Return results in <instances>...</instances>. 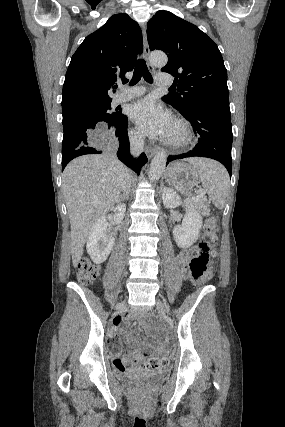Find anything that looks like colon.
Wrapping results in <instances>:
<instances>
[{"label":"colon","instance_id":"obj_1","mask_svg":"<svg viewBox=\"0 0 285 427\" xmlns=\"http://www.w3.org/2000/svg\"><path fill=\"white\" fill-rule=\"evenodd\" d=\"M219 232L217 221L214 217L207 220L204 228V238L199 243L196 251L190 253L183 267L184 274L193 283L204 282L212 273L210 253L211 246L218 241ZM78 271V280L82 284H88L96 279L99 268L94 265L89 259L81 258L76 262ZM170 364L167 358H147L144 360V366L147 370H158L163 367H168ZM125 367L124 364L121 365ZM144 396L146 395L143 391Z\"/></svg>","mask_w":285,"mask_h":427}]
</instances>
